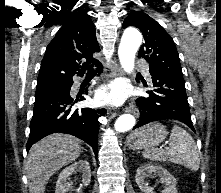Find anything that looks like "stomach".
Masks as SVG:
<instances>
[{
  "label": "stomach",
  "instance_id": "0dacf381",
  "mask_svg": "<svg viewBox=\"0 0 221 193\" xmlns=\"http://www.w3.org/2000/svg\"><path fill=\"white\" fill-rule=\"evenodd\" d=\"M166 135L165 126L153 122L133 131L128 136L127 144L134 150L147 149L159 145Z\"/></svg>",
  "mask_w": 221,
  "mask_h": 193
}]
</instances>
